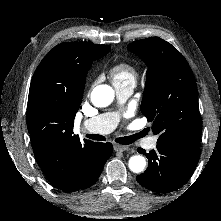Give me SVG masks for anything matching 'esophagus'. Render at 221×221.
Here are the masks:
<instances>
[{
  "instance_id": "esophagus-1",
  "label": "esophagus",
  "mask_w": 221,
  "mask_h": 221,
  "mask_svg": "<svg viewBox=\"0 0 221 221\" xmlns=\"http://www.w3.org/2000/svg\"><path fill=\"white\" fill-rule=\"evenodd\" d=\"M128 148H129V146H127V145H121V144H114V150L115 151H121V152H123V151H126V150H128Z\"/></svg>"
}]
</instances>
